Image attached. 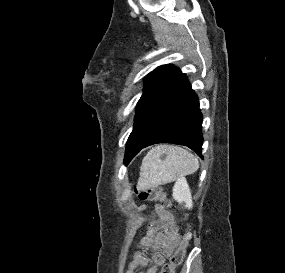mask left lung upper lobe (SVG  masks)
I'll use <instances>...</instances> for the list:
<instances>
[{
    "label": "left lung upper lobe",
    "mask_w": 285,
    "mask_h": 273,
    "mask_svg": "<svg viewBox=\"0 0 285 273\" xmlns=\"http://www.w3.org/2000/svg\"><path fill=\"white\" fill-rule=\"evenodd\" d=\"M181 71L171 65H162L148 74L145 89L137 103L135 122L153 107L180 79Z\"/></svg>",
    "instance_id": "5c2ea615"
}]
</instances>
